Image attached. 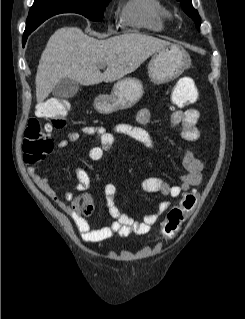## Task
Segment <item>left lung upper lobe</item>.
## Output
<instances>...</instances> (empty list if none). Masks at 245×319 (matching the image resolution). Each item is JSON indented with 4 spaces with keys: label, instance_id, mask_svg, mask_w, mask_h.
<instances>
[{
    "label": "left lung upper lobe",
    "instance_id": "obj_1",
    "mask_svg": "<svg viewBox=\"0 0 245 319\" xmlns=\"http://www.w3.org/2000/svg\"><path fill=\"white\" fill-rule=\"evenodd\" d=\"M178 1L181 3V6L184 9L185 13L195 21L197 29L200 30V16L198 14V11L193 8L191 0Z\"/></svg>",
    "mask_w": 245,
    "mask_h": 319
}]
</instances>
